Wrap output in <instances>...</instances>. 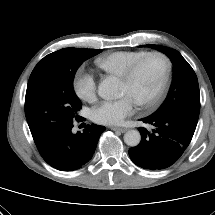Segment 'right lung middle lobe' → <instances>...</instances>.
Segmentation results:
<instances>
[{
  "mask_svg": "<svg viewBox=\"0 0 215 215\" xmlns=\"http://www.w3.org/2000/svg\"><path fill=\"white\" fill-rule=\"evenodd\" d=\"M101 51L64 48L35 66L25 97L26 119L35 143L73 123L82 105L73 89L75 73L85 60Z\"/></svg>",
  "mask_w": 215,
  "mask_h": 215,
  "instance_id": "dd1d6c3e",
  "label": "right lung middle lobe"
}]
</instances>
